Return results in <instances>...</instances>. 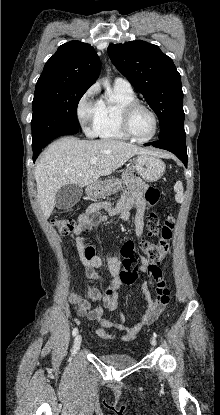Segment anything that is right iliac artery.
Listing matches in <instances>:
<instances>
[{
	"mask_svg": "<svg viewBox=\"0 0 220 415\" xmlns=\"http://www.w3.org/2000/svg\"><path fill=\"white\" fill-rule=\"evenodd\" d=\"M77 333H78V329L74 328L73 331H72V335L75 336Z\"/></svg>",
	"mask_w": 220,
	"mask_h": 415,
	"instance_id": "right-iliac-artery-1",
	"label": "right iliac artery"
}]
</instances>
